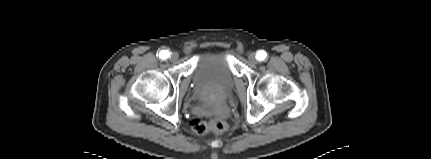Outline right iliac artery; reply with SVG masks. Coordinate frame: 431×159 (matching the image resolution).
Segmentation results:
<instances>
[{"mask_svg": "<svg viewBox=\"0 0 431 159\" xmlns=\"http://www.w3.org/2000/svg\"><path fill=\"white\" fill-rule=\"evenodd\" d=\"M169 56H170V53H169V51H167V50H162V51L159 53V57H160L161 59H167Z\"/></svg>", "mask_w": 431, "mask_h": 159, "instance_id": "82829eb1", "label": "right iliac artery"}]
</instances>
